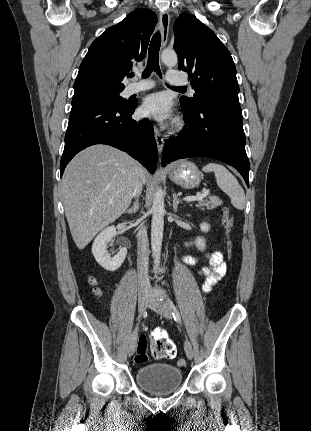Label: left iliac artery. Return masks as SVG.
Masks as SVG:
<instances>
[{
    "label": "left iliac artery",
    "mask_w": 311,
    "mask_h": 431,
    "mask_svg": "<svg viewBox=\"0 0 311 431\" xmlns=\"http://www.w3.org/2000/svg\"><path fill=\"white\" fill-rule=\"evenodd\" d=\"M168 303L170 304V307L172 308V315L174 317V320L180 324H182L181 322V317L180 314L176 308V306L174 305V303L172 302V300L168 299Z\"/></svg>",
    "instance_id": "obj_1"
}]
</instances>
